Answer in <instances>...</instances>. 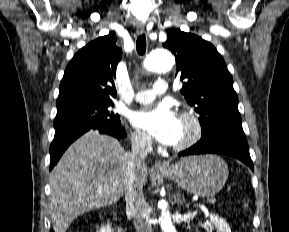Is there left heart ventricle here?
Segmentation results:
<instances>
[{"label": "left heart ventricle", "mask_w": 289, "mask_h": 232, "mask_svg": "<svg viewBox=\"0 0 289 232\" xmlns=\"http://www.w3.org/2000/svg\"><path fill=\"white\" fill-rule=\"evenodd\" d=\"M191 133V127L188 123L179 120V136L175 144H179L186 140Z\"/></svg>", "instance_id": "b2bd125f"}]
</instances>
